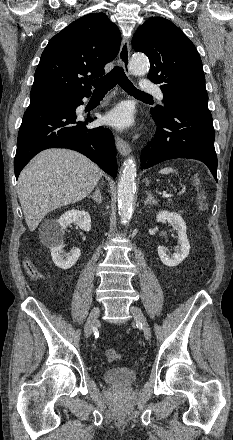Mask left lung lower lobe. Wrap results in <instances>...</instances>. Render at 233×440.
<instances>
[{
    "mask_svg": "<svg viewBox=\"0 0 233 440\" xmlns=\"http://www.w3.org/2000/svg\"><path fill=\"white\" fill-rule=\"evenodd\" d=\"M151 113L158 128L153 142L142 150L141 168L146 169L168 159H197L208 166L217 180L215 132L207 103L176 101L168 104L162 114L153 109Z\"/></svg>",
    "mask_w": 233,
    "mask_h": 440,
    "instance_id": "1",
    "label": "left lung lower lobe"
}]
</instances>
